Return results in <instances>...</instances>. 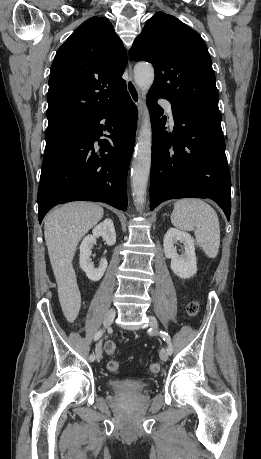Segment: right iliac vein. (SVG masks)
<instances>
[{
  "mask_svg": "<svg viewBox=\"0 0 261 459\" xmlns=\"http://www.w3.org/2000/svg\"><path fill=\"white\" fill-rule=\"evenodd\" d=\"M116 316V311L115 309H110L107 313H106V316L104 318V326L107 328L109 327L114 318ZM102 358V348H101V344H99L97 347H96V359L97 361H100V359Z\"/></svg>",
  "mask_w": 261,
  "mask_h": 459,
  "instance_id": "1",
  "label": "right iliac vein"
}]
</instances>
